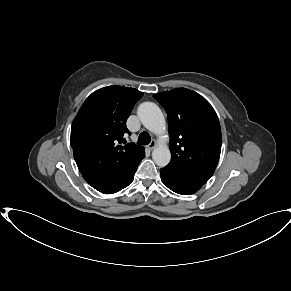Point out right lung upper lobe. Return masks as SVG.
Instances as JSON below:
<instances>
[{"instance_id": "right-lung-upper-lobe-1", "label": "right lung upper lobe", "mask_w": 291, "mask_h": 291, "mask_svg": "<svg viewBox=\"0 0 291 291\" xmlns=\"http://www.w3.org/2000/svg\"><path fill=\"white\" fill-rule=\"evenodd\" d=\"M143 93L108 86L92 93L82 104L71 128V146L81 174L116 172L134 162L144 148L123 138L126 121Z\"/></svg>"}]
</instances>
